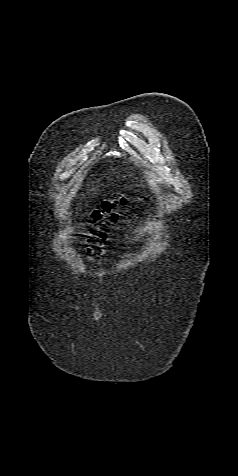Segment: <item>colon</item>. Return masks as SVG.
I'll use <instances>...</instances> for the list:
<instances>
[{
  "instance_id": "obj_1",
  "label": "colon",
  "mask_w": 238,
  "mask_h": 476,
  "mask_svg": "<svg viewBox=\"0 0 238 476\" xmlns=\"http://www.w3.org/2000/svg\"><path fill=\"white\" fill-rule=\"evenodd\" d=\"M127 203L128 200L125 197L105 200L98 208L93 210L92 219L97 225V234L94 236L96 242H92L90 245L91 250L101 251L103 240L106 238V228L122 215L120 207L125 206Z\"/></svg>"
}]
</instances>
